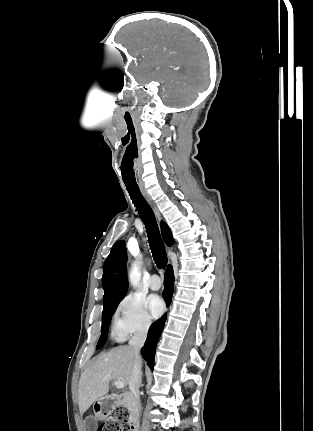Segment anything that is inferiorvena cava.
I'll use <instances>...</instances> for the list:
<instances>
[{"label": "inferior vena cava", "mask_w": 313, "mask_h": 431, "mask_svg": "<svg viewBox=\"0 0 313 431\" xmlns=\"http://www.w3.org/2000/svg\"><path fill=\"white\" fill-rule=\"evenodd\" d=\"M149 325H146L144 328L138 330L133 337L129 341V346L133 352V368L129 381L130 388V401L129 406L135 412H138L140 409V400H139V387H140V379H141V358H140V349L143 347Z\"/></svg>", "instance_id": "1"}]
</instances>
